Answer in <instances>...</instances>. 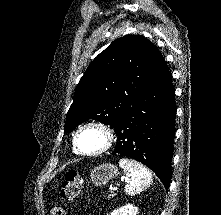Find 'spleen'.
Wrapping results in <instances>:
<instances>
[{"mask_svg": "<svg viewBox=\"0 0 221 215\" xmlns=\"http://www.w3.org/2000/svg\"><path fill=\"white\" fill-rule=\"evenodd\" d=\"M119 166L130 178L129 183L125 186L126 194H139L151 184L152 174L141 163L132 159L122 158L119 160Z\"/></svg>", "mask_w": 221, "mask_h": 215, "instance_id": "3e777b00", "label": "spleen"}]
</instances>
